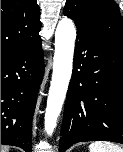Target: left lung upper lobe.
<instances>
[{"instance_id": "1", "label": "left lung upper lobe", "mask_w": 123, "mask_h": 152, "mask_svg": "<svg viewBox=\"0 0 123 152\" xmlns=\"http://www.w3.org/2000/svg\"><path fill=\"white\" fill-rule=\"evenodd\" d=\"M64 14L123 47V22L114 0H67Z\"/></svg>"}]
</instances>
